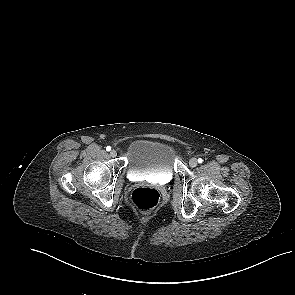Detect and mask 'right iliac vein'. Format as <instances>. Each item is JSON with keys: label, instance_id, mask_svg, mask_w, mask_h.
Masks as SVG:
<instances>
[{"label": "right iliac vein", "instance_id": "1", "mask_svg": "<svg viewBox=\"0 0 295 295\" xmlns=\"http://www.w3.org/2000/svg\"><path fill=\"white\" fill-rule=\"evenodd\" d=\"M110 156L113 157V158L116 157V156H117V151L114 150V149L111 150V152H110Z\"/></svg>", "mask_w": 295, "mask_h": 295}]
</instances>
